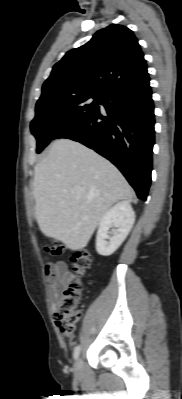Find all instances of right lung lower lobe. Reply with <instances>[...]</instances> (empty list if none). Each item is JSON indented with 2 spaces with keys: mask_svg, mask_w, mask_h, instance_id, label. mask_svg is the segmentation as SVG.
Here are the masks:
<instances>
[{
  "mask_svg": "<svg viewBox=\"0 0 182 399\" xmlns=\"http://www.w3.org/2000/svg\"><path fill=\"white\" fill-rule=\"evenodd\" d=\"M149 81L147 77L109 90L101 103L107 116L99 110L54 138L80 142L110 160L144 201L151 183L155 124Z\"/></svg>",
  "mask_w": 182,
  "mask_h": 399,
  "instance_id": "1",
  "label": "right lung lower lobe"
}]
</instances>
